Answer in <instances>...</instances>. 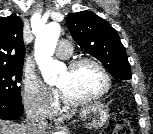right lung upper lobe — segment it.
I'll return each mask as SVG.
<instances>
[{
    "label": "right lung upper lobe",
    "mask_w": 153,
    "mask_h": 134,
    "mask_svg": "<svg viewBox=\"0 0 153 134\" xmlns=\"http://www.w3.org/2000/svg\"><path fill=\"white\" fill-rule=\"evenodd\" d=\"M23 22L15 14L0 17V67L23 66Z\"/></svg>",
    "instance_id": "obj_1"
}]
</instances>
